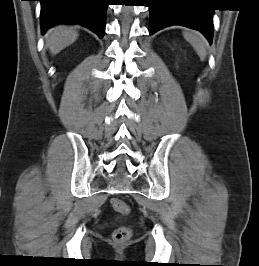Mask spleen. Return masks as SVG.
<instances>
[{
	"label": "spleen",
	"mask_w": 259,
	"mask_h": 266,
	"mask_svg": "<svg viewBox=\"0 0 259 266\" xmlns=\"http://www.w3.org/2000/svg\"><path fill=\"white\" fill-rule=\"evenodd\" d=\"M183 36L195 49L200 59L204 61L207 55V41L204 36L201 33L192 30L184 31Z\"/></svg>",
	"instance_id": "spleen-1"
}]
</instances>
